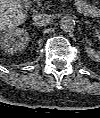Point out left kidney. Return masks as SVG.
Returning <instances> with one entry per match:
<instances>
[{
  "mask_svg": "<svg viewBox=\"0 0 100 118\" xmlns=\"http://www.w3.org/2000/svg\"><path fill=\"white\" fill-rule=\"evenodd\" d=\"M86 52L88 57H90L94 61H100V52L96 51L95 49L91 47H86Z\"/></svg>",
  "mask_w": 100,
  "mask_h": 118,
  "instance_id": "1",
  "label": "left kidney"
}]
</instances>
